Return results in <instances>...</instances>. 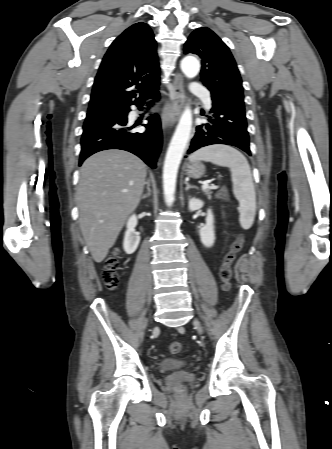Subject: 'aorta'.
Instances as JSON below:
<instances>
[{
	"label": "aorta",
	"mask_w": 332,
	"mask_h": 449,
	"mask_svg": "<svg viewBox=\"0 0 332 449\" xmlns=\"http://www.w3.org/2000/svg\"><path fill=\"white\" fill-rule=\"evenodd\" d=\"M181 69L186 77L194 78L200 71V63L195 57L187 56L181 61ZM191 129L192 112L189 107H186L169 144L163 166V191L168 206H171L174 201L178 168L189 141Z\"/></svg>",
	"instance_id": "obj_1"
}]
</instances>
